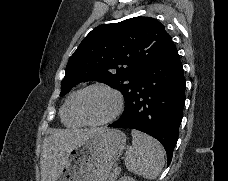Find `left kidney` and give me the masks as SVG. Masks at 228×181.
<instances>
[{"label":"left kidney","mask_w":228,"mask_h":181,"mask_svg":"<svg viewBox=\"0 0 228 181\" xmlns=\"http://www.w3.org/2000/svg\"><path fill=\"white\" fill-rule=\"evenodd\" d=\"M120 181H134L132 177H121Z\"/></svg>","instance_id":"1"}]
</instances>
